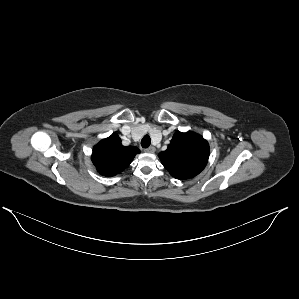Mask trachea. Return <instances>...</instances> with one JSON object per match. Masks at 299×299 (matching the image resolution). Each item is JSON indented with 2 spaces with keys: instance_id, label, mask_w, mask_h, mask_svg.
Returning a JSON list of instances; mask_svg holds the SVG:
<instances>
[{
  "instance_id": "1",
  "label": "trachea",
  "mask_w": 299,
  "mask_h": 299,
  "mask_svg": "<svg viewBox=\"0 0 299 299\" xmlns=\"http://www.w3.org/2000/svg\"><path fill=\"white\" fill-rule=\"evenodd\" d=\"M151 144V139L149 135H145L141 140V146L143 148H148Z\"/></svg>"
}]
</instances>
